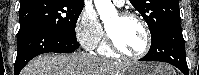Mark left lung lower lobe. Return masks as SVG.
<instances>
[{"label":"left lung lower lobe","mask_w":199,"mask_h":75,"mask_svg":"<svg viewBox=\"0 0 199 75\" xmlns=\"http://www.w3.org/2000/svg\"><path fill=\"white\" fill-rule=\"evenodd\" d=\"M140 61L167 62L181 70L184 75H189L180 21L169 23L157 38L152 39L149 52Z\"/></svg>","instance_id":"1"}]
</instances>
